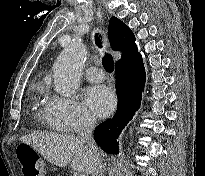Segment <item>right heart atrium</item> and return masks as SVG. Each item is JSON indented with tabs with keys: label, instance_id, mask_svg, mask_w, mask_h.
Masks as SVG:
<instances>
[{
	"label": "right heart atrium",
	"instance_id": "1",
	"mask_svg": "<svg viewBox=\"0 0 205 176\" xmlns=\"http://www.w3.org/2000/svg\"><path fill=\"white\" fill-rule=\"evenodd\" d=\"M47 114L56 128L68 132L89 128L95 122L93 116L73 97L51 96L47 103Z\"/></svg>",
	"mask_w": 205,
	"mask_h": 176
}]
</instances>
